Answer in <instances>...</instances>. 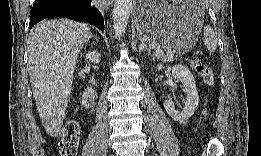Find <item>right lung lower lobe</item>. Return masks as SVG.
Instances as JSON below:
<instances>
[{"instance_id": "right-lung-lower-lobe-1", "label": "right lung lower lobe", "mask_w": 261, "mask_h": 156, "mask_svg": "<svg viewBox=\"0 0 261 156\" xmlns=\"http://www.w3.org/2000/svg\"><path fill=\"white\" fill-rule=\"evenodd\" d=\"M50 17H66L104 29L101 13L91 0H35L29 25Z\"/></svg>"}]
</instances>
